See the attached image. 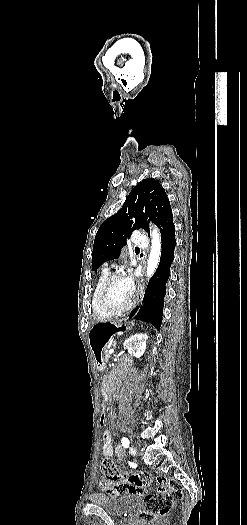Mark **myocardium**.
I'll use <instances>...</instances> for the list:
<instances>
[{
	"mask_svg": "<svg viewBox=\"0 0 247 525\" xmlns=\"http://www.w3.org/2000/svg\"><path fill=\"white\" fill-rule=\"evenodd\" d=\"M123 276H125L124 271L110 273L96 288V294L100 299V308L110 315L119 313L122 310L130 309L134 305L130 297H128L125 302H109L103 297V293L110 282L115 278H120Z\"/></svg>",
	"mask_w": 247,
	"mask_h": 525,
	"instance_id": "f54148a6",
	"label": "myocardium"
}]
</instances>
